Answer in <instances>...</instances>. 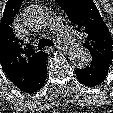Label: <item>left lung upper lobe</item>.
<instances>
[{
  "label": "left lung upper lobe",
  "mask_w": 113,
  "mask_h": 113,
  "mask_svg": "<svg viewBox=\"0 0 113 113\" xmlns=\"http://www.w3.org/2000/svg\"><path fill=\"white\" fill-rule=\"evenodd\" d=\"M68 15L69 20L83 32L84 46L92 58L108 64L113 58L112 37L92 0H55Z\"/></svg>",
  "instance_id": "obj_1"
}]
</instances>
